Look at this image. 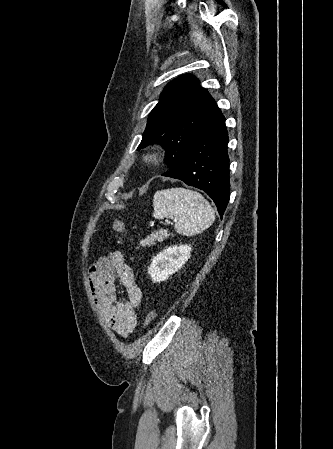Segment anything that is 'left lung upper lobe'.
<instances>
[{"label": "left lung upper lobe", "mask_w": 333, "mask_h": 449, "mask_svg": "<svg viewBox=\"0 0 333 449\" xmlns=\"http://www.w3.org/2000/svg\"><path fill=\"white\" fill-rule=\"evenodd\" d=\"M216 105L210 94L190 74L167 85L148 117L138 149L160 143L166 150L167 169L179 167L187 156L195 135Z\"/></svg>", "instance_id": "1"}]
</instances>
